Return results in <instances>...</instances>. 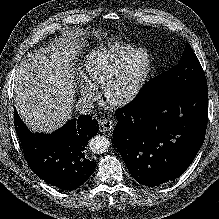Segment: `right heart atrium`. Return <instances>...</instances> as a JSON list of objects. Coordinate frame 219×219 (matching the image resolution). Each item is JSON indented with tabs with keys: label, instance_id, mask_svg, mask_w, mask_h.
I'll return each mask as SVG.
<instances>
[{
	"label": "right heart atrium",
	"instance_id": "d8ad5b80",
	"mask_svg": "<svg viewBox=\"0 0 219 219\" xmlns=\"http://www.w3.org/2000/svg\"><path fill=\"white\" fill-rule=\"evenodd\" d=\"M79 93L83 99L88 101H93L96 96L95 90L85 84L79 86Z\"/></svg>",
	"mask_w": 219,
	"mask_h": 219
}]
</instances>
